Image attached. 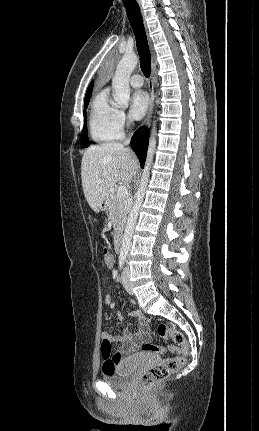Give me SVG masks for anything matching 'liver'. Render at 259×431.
Listing matches in <instances>:
<instances>
[{
    "label": "liver",
    "mask_w": 259,
    "mask_h": 431,
    "mask_svg": "<svg viewBox=\"0 0 259 431\" xmlns=\"http://www.w3.org/2000/svg\"><path fill=\"white\" fill-rule=\"evenodd\" d=\"M138 170L137 157L120 143L87 148L82 157L81 178L85 198L92 210L99 212L116 183H130Z\"/></svg>",
    "instance_id": "1"
}]
</instances>
